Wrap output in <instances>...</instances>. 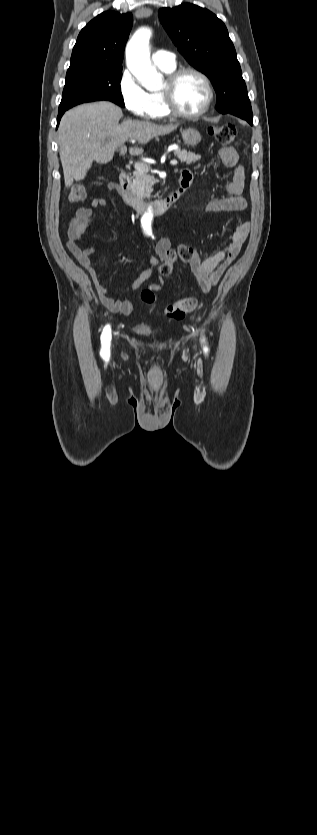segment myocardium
<instances>
[{
	"label": "myocardium",
	"mask_w": 317,
	"mask_h": 835,
	"mask_svg": "<svg viewBox=\"0 0 317 835\" xmlns=\"http://www.w3.org/2000/svg\"><path fill=\"white\" fill-rule=\"evenodd\" d=\"M186 74H194L202 79L207 90V97L203 106L195 113H185L180 110L175 99V90L179 80ZM162 95L170 114L180 119H196L204 115L210 108L214 99V88L210 78L201 70L194 67H182L168 74Z\"/></svg>",
	"instance_id": "f54148a6"
}]
</instances>
